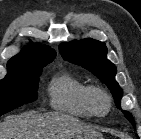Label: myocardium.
I'll list each match as a JSON object with an SVG mask.
<instances>
[{
  "instance_id": "1",
  "label": "myocardium",
  "mask_w": 141,
  "mask_h": 139,
  "mask_svg": "<svg viewBox=\"0 0 141 139\" xmlns=\"http://www.w3.org/2000/svg\"><path fill=\"white\" fill-rule=\"evenodd\" d=\"M86 101L93 115L97 117L107 115L111 109V96L104 88L99 86H89ZM100 101L103 102L102 107L99 105Z\"/></svg>"
}]
</instances>
